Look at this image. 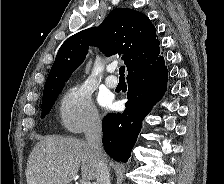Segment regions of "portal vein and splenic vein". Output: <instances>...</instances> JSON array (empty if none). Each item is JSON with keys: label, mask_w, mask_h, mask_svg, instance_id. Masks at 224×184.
<instances>
[{"label": "portal vein and splenic vein", "mask_w": 224, "mask_h": 184, "mask_svg": "<svg viewBox=\"0 0 224 184\" xmlns=\"http://www.w3.org/2000/svg\"><path fill=\"white\" fill-rule=\"evenodd\" d=\"M84 184H92L91 182H84Z\"/></svg>", "instance_id": "obj_1"}]
</instances>
